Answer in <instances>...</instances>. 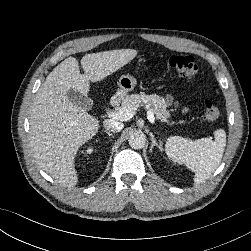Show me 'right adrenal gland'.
Here are the masks:
<instances>
[{
  "mask_svg": "<svg viewBox=\"0 0 251 251\" xmlns=\"http://www.w3.org/2000/svg\"><path fill=\"white\" fill-rule=\"evenodd\" d=\"M104 133L108 134V136L113 137V134H112V133H110L109 131L104 130Z\"/></svg>",
  "mask_w": 251,
  "mask_h": 251,
  "instance_id": "2a0ac1e0",
  "label": "right adrenal gland"
}]
</instances>
